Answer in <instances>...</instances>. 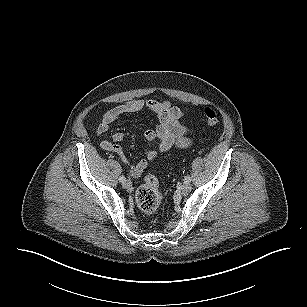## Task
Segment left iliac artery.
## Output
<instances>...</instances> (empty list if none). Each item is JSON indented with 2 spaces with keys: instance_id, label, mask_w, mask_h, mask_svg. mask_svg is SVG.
I'll return each instance as SVG.
<instances>
[{
  "instance_id": "1",
  "label": "left iliac artery",
  "mask_w": 307,
  "mask_h": 307,
  "mask_svg": "<svg viewBox=\"0 0 307 307\" xmlns=\"http://www.w3.org/2000/svg\"><path fill=\"white\" fill-rule=\"evenodd\" d=\"M184 180H185V182H190L191 178L189 176H185Z\"/></svg>"
}]
</instances>
